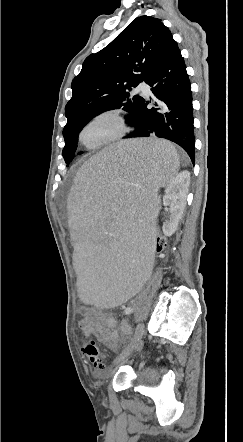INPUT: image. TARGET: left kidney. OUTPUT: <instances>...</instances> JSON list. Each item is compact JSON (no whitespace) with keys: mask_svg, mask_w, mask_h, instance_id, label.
<instances>
[{"mask_svg":"<svg viewBox=\"0 0 243 442\" xmlns=\"http://www.w3.org/2000/svg\"><path fill=\"white\" fill-rule=\"evenodd\" d=\"M190 181V173H179L167 187V195L163 198V204L169 206V218L163 224L165 235L171 236L177 230V226L186 205V196Z\"/></svg>","mask_w":243,"mask_h":442,"instance_id":"obj_1","label":"left kidney"}]
</instances>
